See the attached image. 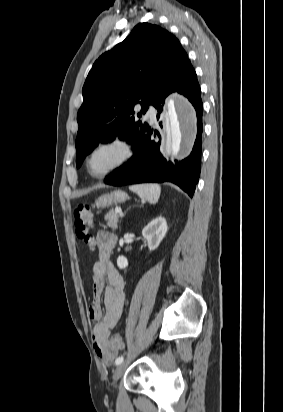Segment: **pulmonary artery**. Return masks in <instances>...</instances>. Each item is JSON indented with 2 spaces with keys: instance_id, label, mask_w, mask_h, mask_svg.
Wrapping results in <instances>:
<instances>
[{
  "instance_id": "1",
  "label": "pulmonary artery",
  "mask_w": 283,
  "mask_h": 412,
  "mask_svg": "<svg viewBox=\"0 0 283 412\" xmlns=\"http://www.w3.org/2000/svg\"><path fill=\"white\" fill-rule=\"evenodd\" d=\"M146 118L150 119L151 121L155 120V111L154 110H148V112L146 113Z\"/></svg>"
}]
</instances>
